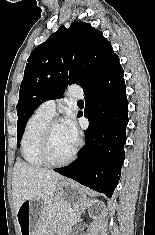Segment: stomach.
Instances as JSON below:
<instances>
[{"mask_svg": "<svg viewBox=\"0 0 155 235\" xmlns=\"http://www.w3.org/2000/svg\"><path fill=\"white\" fill-rule=\"evenodd\" d=\"M51 199L59 200L69 208H79L86 203V195L82 188L72 180H61L57 184L55 196ZM46 204L40 199L26 200L17 212V223L20 235H44L41 229Z\"/></svg>", "mask_w": 155, "mask_h": 235, "instance_id": "1", "label": "stomach"}]
</instances>
